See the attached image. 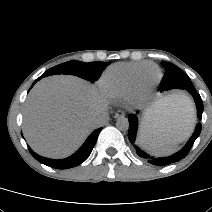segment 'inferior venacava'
I'll list each match as a JSON object with an SVG mask.
<instances>
[{"instance_id": "602c4592", "label": "inferior vena cava", "mask_w": 212, "mask_h": 212, "mask_svg": "<svg viewBox=\"0 0 212 212\" xmlns=\"http://www.w3.org/2000/svg\"><path fill=\"white\" fill-rule=\"evenodd\" d=\"M107 119L108 114L106 112H103L92 119L93 125L95 126V128L103 126L106 123Z\"/></svg>"}]
</instances>
